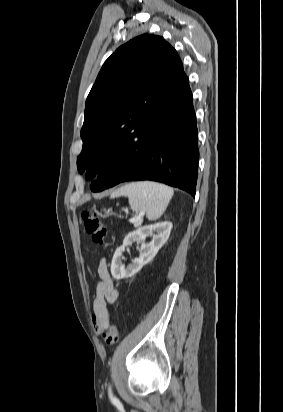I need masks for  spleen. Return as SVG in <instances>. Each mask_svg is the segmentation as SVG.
Listing matches in <instances>:
<instances>
[{
	"label": "spleen",
	"instance_id": "3e777b00",
	"mask_svg": "<svg viewBox=\"0 0 283 412\" xmlns=\"http://www.w3.org/2000/svg\"><path fill=\"white\" fill-rule=\"evenodd\" d=\"M173 193V189L164 184L140 181L120 187L111 194V198L127 197L132 211L145 212L150 221H155L165 212Z\"/></svg>",
	"mask_w": 283,
	"mask_h": 412
}]
</instances>
